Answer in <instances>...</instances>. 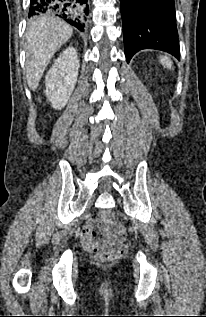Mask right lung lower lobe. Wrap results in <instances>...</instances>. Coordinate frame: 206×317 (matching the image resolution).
Masks as SVG:
<instances>
[{
    "mask_svg": "<svg viewBox=\"0 0 206 317\" xmlns=\"http://www.w3.org/2000/svg\"><path fill=\"white\" fill-rule=\"evenodd\" d=\"M52 12L84 31L89 7L87 0H30L29 17Z\"/></svg>",
    "mask_w": 206,
    "mask_h": 317,
    "instance_id": "98d812e1",
    "label": "right lung lower lobe"
}]
</instances>
